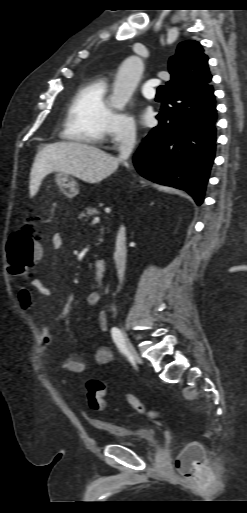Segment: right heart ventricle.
Instances as JSON below:
<instances>
[{"mask_svg": "<svg viewBox=\"0 0 247 513\" xmlns=\"http://www.w3.org/2000/svg\"><path fill=\"white\" fill-rule=\"evenodd\" d=\"M107 88L103 79L87 80L78 87L65 114L63 139L90 145L103 142L112 115L106 100Z\"/></svg>", "mask_w": 247, "mask_h": 513, "instance_id": "e07e8e85", "label": "right heart ventricle"}]
</instances>
